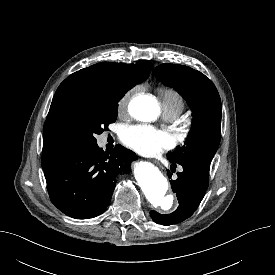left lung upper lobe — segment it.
Here are the masks:
<instances>
[{
	"label": "left lung upper lobe",
	"mask_w": 275,
	"mask_h": 275,
	"mask_svg": "<svg viewBox=\"0 0 275 275\" xmlns=\"http://www.w3.org/2000/svg\"><path fill=\"white\" fill-rule=\"evenodd\" d=\"M154 75L173 87L189 104L193 124L184 145L168 155L172 162L203 160L211 163L220 143L221 100L213 84L201 72L179 64H161Z\"/></svg>",
	"instance_id": "obj_1"
}]
</instances>
